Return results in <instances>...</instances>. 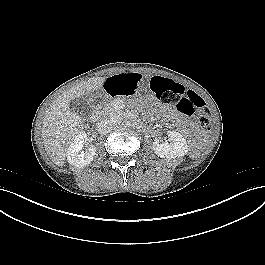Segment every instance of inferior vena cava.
<instances>
[{
    "instance_id": "inferior-vena-cava-1",
    "label": "inferior vena cava",
    "mask_w": 265,
    "mask_h": 265,
    "mask_svg": "<svg viewBox=\"0 0 265 265\" xmlns=\"http://www.w3.org/2000/svg\"><path fill=\"white\" fill-rule=\"evenodd\" d=\"M112 122L109 119H102L97 124V130L100 134H107L112 130Z\"/></svg>"
}]
</instances>
